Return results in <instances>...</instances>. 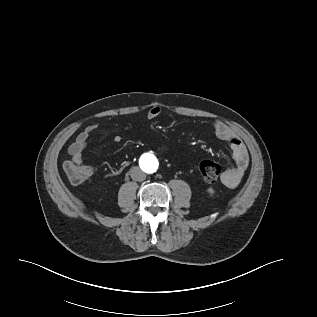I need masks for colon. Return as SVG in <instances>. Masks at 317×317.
Listing matches in <instances>:
<instances>
[{"label":"colon","instance_id":"obj_1","mask_svg":"<svg viewBox=\"0 0 317 317\" xmlns=\"http://www.w3.org/2000/svg\"><path fill=\"white\" fill-rule=\"evenodd\" d=\"M64 166L68 179L73 184H81L92 175V168L83 163L67 161ZM199 171L205 182L213 183L221 174V166L216 161L205 160L201 162Z\"/></svg>","mask_w":317,"mask_h":317}]
</instances>
